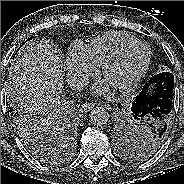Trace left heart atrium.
I'll list each match as a JSON object with an SVG mask.
<instances>
[{
    "label": "left heart atrium",
    "mask_w": 184,
    "mask_h": 184,
    "mask_svg": "<svg viewBox=\"0 0 184 184\" xmlns=\"http://www.w3.org/2000/svg\"><path fill=\"white\" fill-rule=\"evenodd\" d=\"M106 86L104 84L98 83L93 87V92L95 94H103L106 92Z\"/></svg>",
    "instance_id": "obj_1"
}]
</instances>
